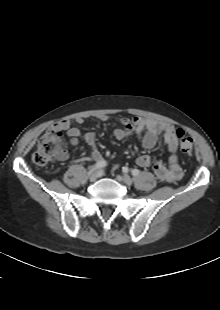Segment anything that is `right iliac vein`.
I'll return each mask as SVG.
<instances>
[{"label":"right iliac vein","mask_w":220,"mask_h":310,"mask_svg":"<svg viewBox=\"0 0 220 310\" xmlns=\"http://www.w3.org/2000/svg\"><path fill=\"white\" fill-rule=\"evenodd\" d=\"M97 178H98V173H97V172H93V173L90 175V177H89V179H90L91 182H94Z\"/></svg>","instance_id":"1"}]
</instances>
